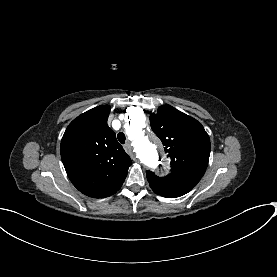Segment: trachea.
Wrapping results in <instances>:
<instances>
[{
  "label": "trachea",
  "instance_id": "3493384b",
  "mask_svg": "<svg viewBox=\"0 0 277 277\" xmlns=\"http://www.w3.org/2000/svg\"><path fill=\"white\" fill-rule=\"evenodd\" d=\"M117 138H118V140H119V142H120L121 144H124V143H125L126 137H125V135H124L122 132H120V133L117 135Z\"/></svg>",
  "mask_w": 277,
  "mask_h": 277
}]
</instances>
